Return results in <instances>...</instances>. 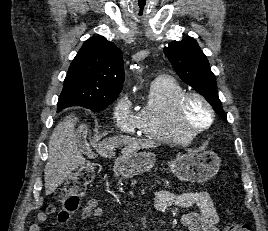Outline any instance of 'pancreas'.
Segmentation results:
<instances>
[{
    "mask_svg": "<svg viewBox=\"0 0 268 231\" xmlns=\"http://www.w3.org/2000/svg\"><path fill=\"white\" fill-rule=\"evenodd\" d=\"M135 184H136V181H133V182H132V185H135ZM164 184H166V185L168 186V185H169V182L165 180V181H164Z\"/></svg>",
    "mask_w": 268,
    "mask_h": 231,
    "instance_id": "pancreas-1",
    "label": "pancreas"
}]
</instances>
